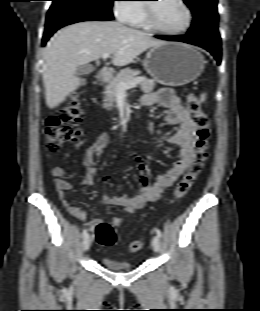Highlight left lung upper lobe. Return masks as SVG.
<instances>
[{
	"label": "left lung upper lobe",
	"instance_id": "5c2ea615",
	"mask_svg": "<svg viewBox=\"0 0 260 311\" xmlns=\"http://www.w3.org/2000/svg\"><path fill=\"white\" fill-rule=\"evenodd\" d=\"M191 9L194 20L188 34L220 39L217 0H183Z\"/></svg>",
	"mask_w": 260,
	"mask_h": 311
}]
</instances>
